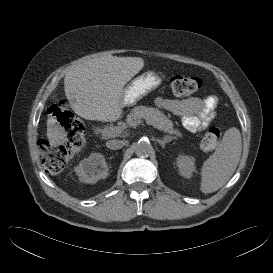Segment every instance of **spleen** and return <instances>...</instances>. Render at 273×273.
Segmentation results:
<instances>
[{"label":"spleen","instance_id":"obj_1","mask_svg":"<svg viewBox=\"0 0 273 273\" xmlns=\"http://www.w3.org/2000/svg\"><path fill=\"white\" fill-rule=\"evenodd\" d=\"M241 152L240 131L232 127L225 132L215 152L202 165L200 190L204 194L219 190L231 178L239 164Z\"/></svg>","mask_w":273,"mask_h":273}]
</instances>
